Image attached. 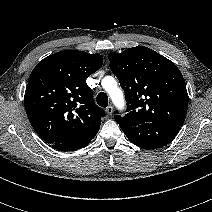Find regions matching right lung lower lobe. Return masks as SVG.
Wrapping results in <instances>:
<instances>
[{
	"label": "right lung lower lobe",
	"mask_w": 212,
	"mask_h": 212,
	"mask_svg": "<svg viewBox=\"0 0 212 212\" xmlns=\"http://www.w3.org/2000/svg\"><path fill=\"white\" fill-rule=\"evenodd\" d=\"M89 141H66L62 143L51 144L52 148L58 151H74L87 146Z\"/></svg>",
	"instance_id": "98d812e1"
}]
</instances>
